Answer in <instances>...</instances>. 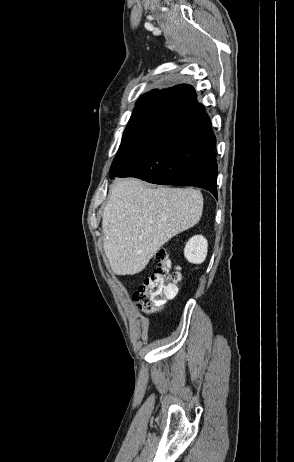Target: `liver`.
<instances>
[{"mask_svg": "<svg viewBox=\"0 0 294 462\" xmlns=\"http://www.w3.org/2000/svg\"><path fill=\"white\" fill-rule=\"evenodd\" d=\"M203 197L193 188L151 189L138 179L110 186L102 215L103 247L116 275H135L175 235L196 225Z\"/></svg>", "mask_w": 294, "mask_h": 462, "instance_id": "liver-1", "label": "liver"}]
</instances>
